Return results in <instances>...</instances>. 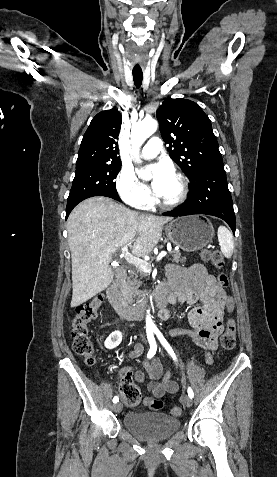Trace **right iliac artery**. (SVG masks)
<instances>
[{
	"instance_id": "82829eb1",
	"label": "right iliac artery",
	"mask_w": 277,
	"mask_h": 477,
	"mask_svg": "<svg viewBox=\"0 0 277 477\" xmlns=\"http://www.w3.org/2000/svg\"><path fill=\"white\" fill-rule=\"evenodd\" d=\"M147 338H148V341H149V344H150V349L148 351L147 357L152 358L155 355L156 350H157V346H156V342H155V338H154L152 330L147 331ZM118 401H119V398L117 396H115L113 398V402L117 403Z\"/></svg>"
}]
</instances>
